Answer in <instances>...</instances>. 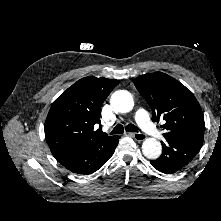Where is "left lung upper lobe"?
I'll return each mask as SVG.
<instances>
[{
    "label": "left lung upper lobe",
    "mask_w": 221,
    "mask_h": 221,
    "mask_svg": "<svg viewBox=\"0 0 221 221\" xmlns=\"http://www.w3.org/2000/svg\"><path fill=\"white\" fill-rule=\"evenodd\" d=\"M135 87L152 109V120H165L166 140L204 136V116L192 92L176 79L162 73H148L134 80Z\"/></svg>",
    "instance_id": "5c2ea615"
}]
</instances>
